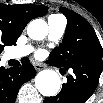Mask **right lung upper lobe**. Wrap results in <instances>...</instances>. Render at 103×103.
Instances as JSON below:
<instances>
[{
  "label": "right lung upper lobe",
  "mask_w": 103,
  "mask_h": 103,
  "mask_svg": "<svg viewBox=\"0 0 103 103\" xmlns=\"http://www.w3.org/2000/svg\"><path fill=\"white\" fill-rule=\"evenodd\" d=\"M46 13V6L0 4V50L15 44L27 23Z\"/></svg>",
  "instance_id": "1"
}]
</instances>
